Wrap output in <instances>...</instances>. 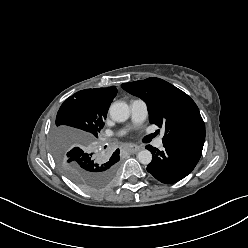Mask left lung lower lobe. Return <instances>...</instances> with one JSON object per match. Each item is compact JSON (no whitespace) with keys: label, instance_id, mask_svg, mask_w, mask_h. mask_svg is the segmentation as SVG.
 Here are the masks:
<instances>
[{"label":"left lung lower lobe","instance_id":"left-lung-lower-lobe-1","mask_svg":"<svg viewBox=\"0 0 248 248\" xmlns=\"http://www.w3.org/2000/svg\"><path fill=\"white\" fill-rule=\"evenodd\" d=\"M205 140V130L180 135L164 144V151L146 148L153 159L147 171L162 183L172 184L186 177L198 163Z\"/></svg>","mask_w":248,"mask_h":248}]
</instances>
